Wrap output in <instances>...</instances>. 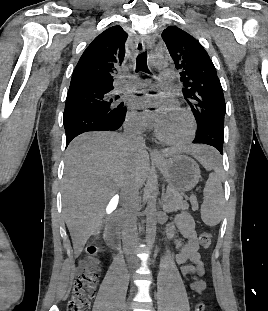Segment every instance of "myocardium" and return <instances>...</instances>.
I'll list each match as a JSON object with an SVG mask.
<instances>
[{
    "label": "myocardium",
    "mask_w": 268,
    "mask_h": 311,
    "mask_svg": "<svg viewBox=\"0 0 268 311\" xmlns=\"http://www.w3.org/2000/svg\"><path fill=\"white\" fill-rule=\"evenodd\" d=\"M178 112L185 118L187 122V131L186 133L179 137V138H170L164 135L159 127V125L156 126V135L162 142L173 145V146H183L192 141L195 135L196 131V124L193 115L190 111L180 108L178 109Z\"/></svg>",
    "instance_id": "myocardium-1"
}]
</instances>
